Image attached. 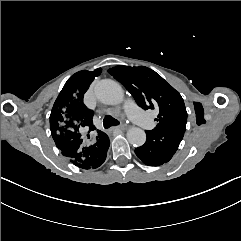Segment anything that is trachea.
Returning a JSON list of instances; mask_svg holds the SVG:
<instances>
[{"instance_id":"obj_1","label":"trachea","mask_w":241,"mask_h":241,"mask_svg":"<svg viewBox=\"0 0 241 241\" xmlns=\"http://www.w3.org/2000/svg\"><path fill=\"white\" fill-rule=\"evenodd\" d=\"M119 124L120 122L111 116H106L103 120V126L105 129H109L112 126H117Z\"/></svg>"}]
</instances>
